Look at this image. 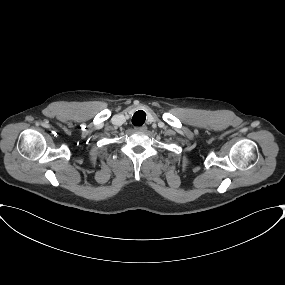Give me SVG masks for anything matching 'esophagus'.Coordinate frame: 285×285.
I'll return each mask as SVG.
<instances>
[{"label":"esophagus","mask_w":285,"mask_h":285,"mask_svg":"<svg viewBox=\"0 0 285 285\" xmlns=\"http://www.w3.org/2000/svg\"><path fill=\"white\" fill-rule=\"evenodd\" d=\"M135 130L139 131V132H145L147 130V127L146 126H139V127H135Z\"/></svg>","instance_id":"obj_1"}]
</instances>
